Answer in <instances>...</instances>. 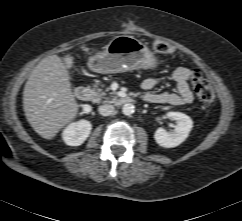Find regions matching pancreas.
Masks as SVG:
<instances>
[{
  "label": "pancreas",
  "instance_id": "obj_1",
  "mask_svg": "<svg viewBox=\"0 0 242 221\" xmlns=\"http://www.w3.org/2000/svg\"><path fill=\"white\" fill-rule=\"evenodd\" d=\"M95 87H97V85H94ZM109 91V88H107L105 91H103L100 88H94L93 89V102L99 103L101 102V100H104V102H108L110 101V99L108 97H106V92ZM111 95H114V92L110 93ZM112 101H115V98L112 99Z\"/></svg>",
  "mask_w": 242,
  "mask_h": 221
}]
</instances>
